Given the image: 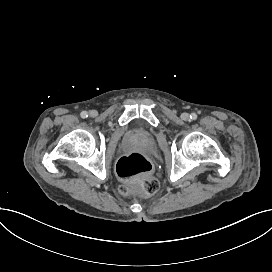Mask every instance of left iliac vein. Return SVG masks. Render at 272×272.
I'll return each mask as SVG.
<instances>
[{
	"mask_svg": "<svg viewBox=\"0 0 272 272\" xmlns=\"http://www.w3.org/2000/svg\"><path fill=\"white\" fill-rule=\"evenodd\" d=\"M181 117L185 121L189 120V118H190L188 113H183Z\"/></svg>",
	"mask_w": 272,
	"mask_h": 272,
	"instance_id": "4c4485c4",
	"label": "left iliac vein"
}]
</instances>
